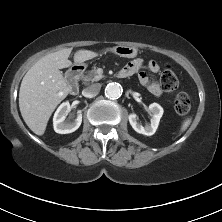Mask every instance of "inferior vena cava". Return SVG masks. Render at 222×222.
Returning <instances> with one entry per match:
<instances>
[{"instance_id": "1", "label": "inferior vena cava", "mask_w": 222, "mask_h": 222, "mask_svg": "<svg viewBox=\"0 0 222 222\" xmlns=\"http://www.w3.org/2000/svg\"><path fill=\"white\" fill-rule=\"evenodd\" d=\"M100 89H101V84L99 83L92 84L83 89L82 94L85 97L92 98L95 97L100 92Z\"/></svg>"}]
</instances>
